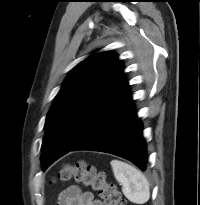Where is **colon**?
I'll use <instances>...</instances> for the list:
<instances>
[{
	"label": "colon",
	"mask_w": 200,
	"mask_h": 205,
	"mask_svg": "<svg viewBox=\"0 0 200 205\" xmlns=\"http://www.w3.org/2000/svg\"><path fill=\"white\" fill-rule=\"evenodd\" d=\"M57 180L68 182L75 181L96 191L103 200L104 205H126L115 184L108 182L106 174L94 165L84 160L76 164H64L57 174Z\"/></svg>",
	"instance_id": "5ec220e1"
}]
</instances>
